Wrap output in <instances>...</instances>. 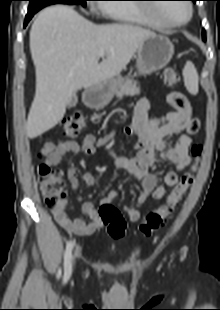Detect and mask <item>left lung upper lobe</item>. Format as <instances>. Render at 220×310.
Wrapping results in <instances>:
<instances>
[{"mask_svg":"<svg viewBox=\"0 0 220 310\" xmlns=\"http://www.w3.org/2000/svg\"><path fill=\"white\" fill-rule=\"evenodd\" d=\"M193 2H196V0H192ZM202 37H203V40H205V30L202 31Z\"/></svg>","mask_w":220,"mask_h":310,"instance_id":"1","label":"left lung upper lobe"}]
</instances>
